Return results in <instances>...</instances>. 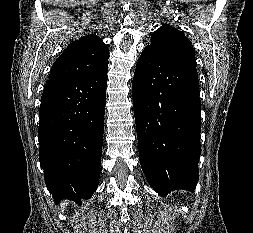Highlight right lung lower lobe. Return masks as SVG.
Instances as JSON below:
<instances>
[{
    "mask_svg": "<svg viewBox=\"0 0 253 233\" xmlns=\"http://www.w3.org/2000/svg\"><path fill=\"white\" fill-rule=\"evenodd\" d=\"M107 71L46 82L40 106L39 159L56 203L70 199L81 204L98 186Z\"/></svg>",
    "mask_w": 253,
    "mask_h": 233,
    "instance_id": "1",
    "label": "right lung lower lobe"
}]
</instances>
